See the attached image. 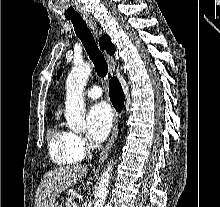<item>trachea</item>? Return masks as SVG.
Instances as JSON below:
<instances>
[{
    "instance_id": "1",
    "label": "trachea",
    "mask_w": 220,
    "mask_h": 207,
    "mask_svg": "<svg viewBox=\"0 0 220 207\" xmlns=\"http://www.w3.org/2000/svg\"><path fill=\"white\" fill-rule=\"evenodd\" d=\"M68 20H71L76 35L81 40L82 44L84 45L87 54L89 55V58L92 60L95 71L97 72V75L101 78H107L108 75V65L104 58V55L99 50L95 39L90 31V29L87 27L86 22L81 16L76 17H70L67 18Z\"/></svg>"
}]
</instances>
